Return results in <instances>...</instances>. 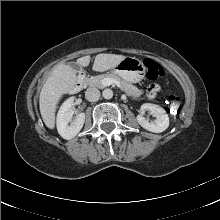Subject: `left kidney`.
Returning <instances> with one entry per match:
<instances>
[{"mask_svg":"<svg viewBox=\"0 0 220 220\" xmlns=\"http://www.w3.org/2000/svg\"><path fill=\"white\" fill-rule=\"evenodd\" d=\"M149 110L156 118L154 121H150L143 116L144 111ZM137 122L144 129L161 133L165 131L169 126V117L166 111L159 105L152 103H145L141 106V113L137 116Z\"/></svg>","mask_w":220,"mask_h":220,"instance_id":"left-kidney-1","label":"left kidney"}]
</instances>
